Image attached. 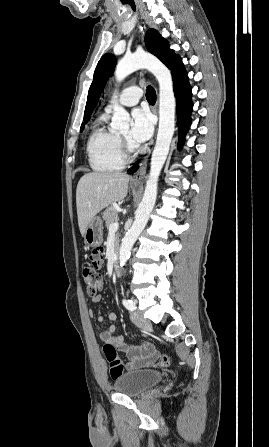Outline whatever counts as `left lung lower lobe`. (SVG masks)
<instances>
[{"label": "left lung lower lobe", "mask_w": 269, "mask_h": 447, "mask_svg": "<svg viewBox=\"0 0 269 447\" xmlns=\"http://www.w3.org/2000/svg\"><path fill=\"white\" fill-rule=\"evenodd\" d=\"M173 79V88L177 102V122L179 128V147L182 146L184 137L191 123V112L193 108L191 96L192 90L188 82V75L180 57L176 59L170 68ZM138 169L134 166L128 170L132 174Z\"/></svg>", "instance_id": "left-lung-lower-lobe-1"}]
</instances>
